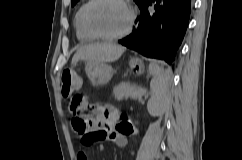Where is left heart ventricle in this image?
Segmentation results:
<instances>
[{"label":"left heart ventricle","instance_id":"left-heart-ventricle-1","mask_svg":"<svg viewBox=\"0 0 242 160\" xmlns=\"http://www.w3.org/2000/svg\"><path fill=\"white\" fill-rule=\"evenodd\" d=\"M89 20L97 32L114 35L126 28L129 11L119 0H99L91 8Z\"/></svg>","mask_w":242,"mask_h":160}]
</instances>
